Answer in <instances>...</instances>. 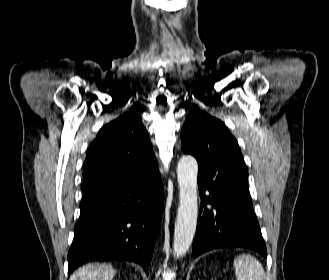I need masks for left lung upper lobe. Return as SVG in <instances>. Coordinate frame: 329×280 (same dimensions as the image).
<instances>
[{"instance_id":"left-lung-upper-lobe-1","label":"left lung upper lobe","mask_w":329,"mask_h":280,"mask_svg":"<svg viewBox=\"0 0 329 280\" xmlns=\"http://www.w3.org/2000/svg\"><path fill=\"white\" fill-rule=\"evenodd\" d=\"M184 153L198 161V187L226 193L247 185L248 171L236 139L220 120L194 110L181 131Z\"/></svg>"}]
</instances>
